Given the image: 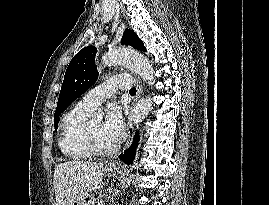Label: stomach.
Masks as SVG:
<instances>
[{"instance_id":"1","label":"stomach","mask_w":269,"mask_h":205,"mask_svg":"<svg viewBox=\"0 0 269 205\" xmlns=\"http://www.w3.org/2000/svg\"><path fill=\"white\" fill-rule=\"evenodd\" d=\"M104 171L108 176H112L115 173V166L113 164H106ZM73 205H94V199L89 194H82L77 197Z\"/></svg>"}]
</instances>
